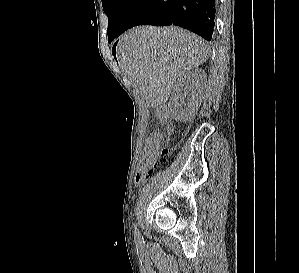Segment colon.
<instances>
[{
    "label": "colon",
    "mask_w": 299,
    "mask_h": 273,
    "mask_svg": "<svg viewBox=\"0 0 299 273\" xmlns=\"http://www.w3.org/2000/svg\"><path fill=\"white\" fill-rule=\"evenodd\" d=\"M168 150L165 148L160 149L158 139L156 137L150 138L145 145L141 159L138 164L136 179L145 180L149 178L156 166V156H165Z\"/></svg>",
    "instance_id": "colon-1"
}]
</instances>
